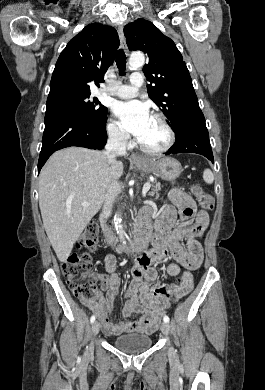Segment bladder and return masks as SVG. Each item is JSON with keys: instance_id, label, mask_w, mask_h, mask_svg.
Listing matches in <instances>:
<instances>
[{"instance_id": "31cf9c89", "label": "bladder", "mask_w": 265, "mask_h": 390, "mask_svg": "<svg viewBox=\"0 0 265 390\" xmlns=\"http://www.w3.org/2000/svg\"><path fill=\"white\" fill-rule=\"evenodd\" d=\"M152 338L143 334H131L117 336L113 340V345L119 351L128 354H137L150 348Z\"/></svg>"}]
</instances>
